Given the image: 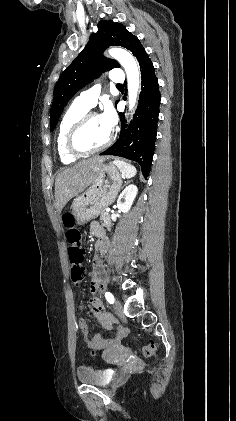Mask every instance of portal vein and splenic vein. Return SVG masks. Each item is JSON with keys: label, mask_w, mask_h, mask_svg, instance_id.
I'll list each match as a JSON object with an SVG mask.
<instances>
[{"label": "portal vein and splenic vein", "mask_w": 236, "mask_h": 421, "mask_svg": "<svg viewBox=\"0 0 236 421\" xmlns=\"http://www.w3.org/2000/svg\"><path fill=\"white\" fill-rule=\"evenodd\" d=\"M106 211H110V208H106Z\"/></svg>", "instance_id": "18ae733b"}]
</instances>
